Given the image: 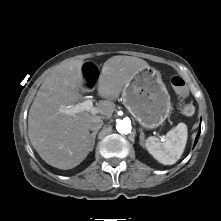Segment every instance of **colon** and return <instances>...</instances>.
<instances>
[{"mask_svg":"<svg viewBox=\"0 0 221 221\" xmlns=\"http://www.w3.org/2000/svg\"><path fill=\"white\" fill-rule=\"evenodd\" d=\"M99 73V65L94 60L85 61L77 71V89L82 94L91 93L96 87V78ZM171 86L174 91L184 96L187 93V87L185 81L180 76H174L171 78ZM195 108L192 103L186 102L181 106V112L185 116H191L194 114Z\"/></svg>","mask_w":221,"mask_h":221,"instance_id":"1","label":"colon"}]
</instances>
